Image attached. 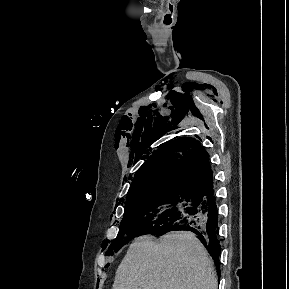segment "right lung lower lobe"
Instances as JSON below:
<instances>
[{
    "label": "right lung lower lobe",
    "instance_id": "98d812e1",
    "mask_svg": "<svg viewBox=\"0 0 289 289\" xmlns=\"http://www.w3.org/2000/svg\"><path fill=\"white\" fill-rule=\"evenodd\" d=\"M196 196L198 201L191 212L170 227L151 234L160 236L176 230H187L195 233L214 259L219 274L221 245L218 239V211L213 187Z\"/></svg>",
    "mask_w": 289,
    "mask_h": 289
}]
</instances>
